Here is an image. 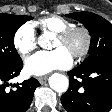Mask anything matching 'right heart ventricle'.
Here are the masks:
<instances>
[{"instance_id":"e07e8e85","label":"right heart ventricle","mask_w":112,"mask_h":112,"mask_svg":"<svg viewBox=\"0 0 112 112\" xmlns=\"http://www.w3.org/2000/svg\"><path fill=\"white\" fill-rule=\"evenodd\" d=\"M36 25L43 30L52 32L54 34L61 33L75 26L72 21L57 15L41 18L36 22Z\"/></svg>"}]
</instances>
